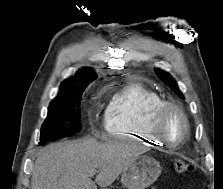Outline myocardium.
Returning a JSON list of instances; mask_svg holds the SVG:
<instances>
[{"label": "myocardium", "mask_w": 223, "mask_h": 189, "mask_svg": "<svg viewBox=\"0 0 223 189\" xmlns=\"http://www.w3.org/2000/svg\"><path fill=\"white\" fill-rule=\"evenodd\" d=\"M175 111L180 115L184 124V132L182 137L176 141L171 142L169 141L165 135L163 134V121L165 116L170 112ZM150 131L153 135L158 138L163 144H166L170 147H177L182 144L190 134V123L189 119L183 110L178 104L170 101H163L151 114V121H150Z\"/></svg>", "instance_id": "obj_1"}]
</instances>
